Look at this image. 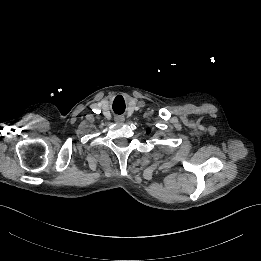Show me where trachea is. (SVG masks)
Masks as SVG:
<instances>
[{
	"label": "trachea",
	"instance_id": "trachea-1",
	"mask_svg": "<svg viewBox=\"0 0 261 261\" xmlns=\"http://www.w3.org/2000/svg\"><path fill=\"white\" fill-rule=\"evenodd\" d=\"M113 110L117 113V114H121L124 112V108H120L119 105H113Z\"/></svg>",
	"mask_w": 261,
	"mask_h": 261
}]
</instances>
